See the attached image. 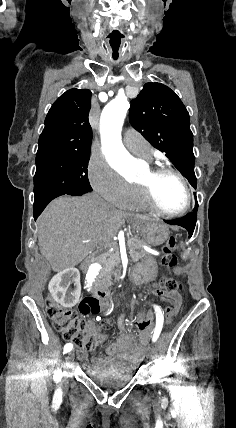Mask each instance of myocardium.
I'll use <instances>...</instances> for the list:
<instances>
[{
  "label": "myocardium",
  "mask_w": 236,
  "mask_h": 428,
  "mask_svg": "<svg viewBox=\"0 0 236 428\" xmlns=\"http://www.w3.org/2000/svg\"><path fill=\"white\" fill-rule=\"evenodd\" d=\"M172 175L179 179L183 184L186 191V201L182 208L174 211L166 210L159 203L155 190L154 184L158 178L163 175ZM137 186L140 188L144 201L153 209L155 212L163 216H178L187 212L192 203V190L189 180L177 169L168 166V165H158L157 167L151 168L148 170V177L141 182L137 183Z\"/></svg>",
  "instance_id": "obj_1"
}]
</instances>
